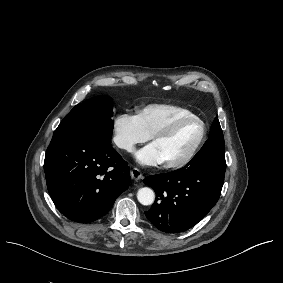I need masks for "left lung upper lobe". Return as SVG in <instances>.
Wrapping results in <instances>:
<instances>
[{
    "instance_id": "5c2ea615",
    "label": "left lung upper lobe",
    "mask_w": 283,
    "mask_h": 283,
    "mask_svg": "<svg viewBox=\"0 0 283 283\" xmlns=\"http://www.w3.org/2000/svg\"><path fill=\"white\" fill-rule=\"evenodd\" d=\"M225 150L224 137L218 118L216 117L211 126V131L208 140L203 146H215Z\"/></svg>"
}]
</instances>
